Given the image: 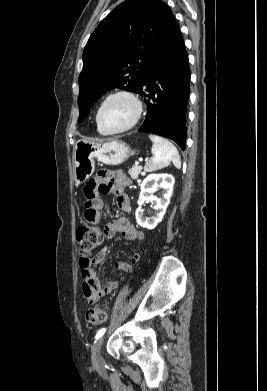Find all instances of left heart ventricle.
Segmentation results:
<instances>
[{"instance_id":"left-heart-ventricle-1","label":"left heart ventricle","mask_w":267,"mask_h":391,"mask_svg":"<svg viewBox=\"0 0 267 391\" xmlns=\"http://www.w3.org/2000/svg\"><path fill=\"white\" fill-rule=\"evenodd\" d=\"M134 111V105L128 98L115 97L105 104L101 118L108 128L118 129L132 120Z\"/></svg>"}]
</instances>
